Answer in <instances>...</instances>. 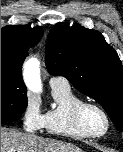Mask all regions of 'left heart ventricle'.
<instances>
[{"label":"left heart ventricle","mask_w":123,"mask_h":152,"mask_svg":"<svg viewBox=\"0 0 123 152\" xmlns=\"http://www.w3.org/2000/svg\"><path fill=\"white\" fill-rule=\"evenodd\" d=\"M85 127L94 134L102 133L106 128V121L103 115L94 108H88L83 115Z\"/></svg>","instance_id":"1"}]
</instances>
